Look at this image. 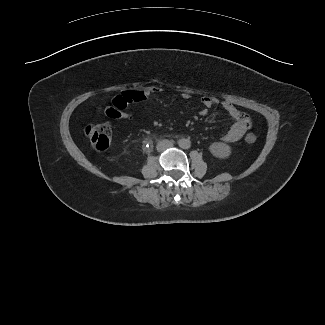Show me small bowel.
<instances>
[{
	"label": "small bowel",
	"mask_w": 325,
	"mask_h": 325,
	"mask_svg": "<svg viewBox=\"0 0 325 325\" xmlns=\"http://www.w3.org/2000/svg\"><path fill=\"white\" fill-rule=\"evenodd\" d=\"M161 89L156 86H148L131 91H126L114 97L113 105L104 108V113L110 119H128L133 120L135 117L131 114L124 112L132 102L140 103L146 101L152 94L160 93ZM185 101L190 100L191 96L188 93L181 95ZM204 108L202 115H207L209 110L221 105L223 109L230 115L233 122L230 128L222 136L221 140L224 143H234L240 140L247 130L250 128L251 121L249 117L237 109L232 103L224 101L220 102L217 98L205 96L201 100Z\"/></svg>",
	"instance_id": "c3829d8e"
}]
</instances>
